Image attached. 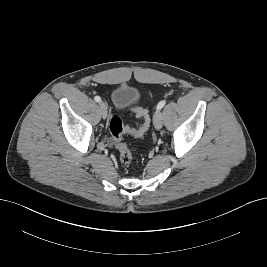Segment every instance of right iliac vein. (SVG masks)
Returning <instances> with one entry per match:
<instances>
[{"label": "right iliac vein", "mask_w": 267, "mask_h": 267, "mask_svg": "<svg viewBox=\"0 0 267 267\" xmlns=\"http://www.w3.org/2000/svg\"><path fill=\"white\" fill-rule=\"evenodd\" d=\"M99 110H100V114H101L102 118L105 119L107 117V106L104 102H100Z\"/></svg>", "instance_id": "1"}]
</instances>
